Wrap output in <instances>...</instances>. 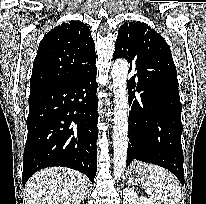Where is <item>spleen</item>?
I'll list each match as a JSON object with an SVG mask.
<instances>
[{
  "instance_id": "1",
  "label": "spleen",
  "mask_w": 206,
  "mask_h": 204,
  "mask_svg": "<svg viewBox=\"0 0 206 204\" xmlns=\"http://www.w3.org/2000/svg\"><path fill=\"white\" fill-rule=\"evenodd\" d=\"M141 185L155 204H179L181 200L179 181L162 167L148 165L146 180Z\"/></svg>"
}]
</instances>
